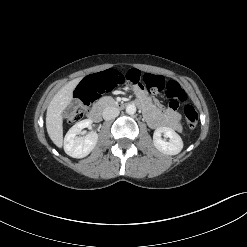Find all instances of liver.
<instances>
[{
	"instance_id": "obj_1",
	"label": "liver",
	"mask_w": 247,
	"mask_h": 247,
	"mask_svg": "<svg viewBox=\"0 0 247 247\" xmlns=\"http://www.w3.org/2000/svg\"><path fill=\"white\" fill-rule=\"evenodd\" d=\"M80 79H74L62 87L52 98L46 113V128L53 143L61 148L63 145L62 113L72 101V95Z\"/></svg>"
}]
</instances>
